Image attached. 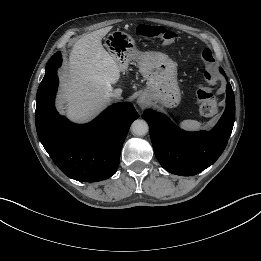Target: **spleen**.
<instances>
[{
	"label": "spleen",
	"mask_w": 261,
	"mask_h": 261,
	"mask_svg": "<svg viewBox=\"0 0 261 261\" xmlns=\"http://www.w3.org/2000/svg\"><path fill=\"white\" fill-rule=\"evenodd\" d=\"M180 127L186 130L196 131L202 128V123L196 120H184L180 123Z\"/></svg>",
	"instance_id": "1"
}]
</instances>
